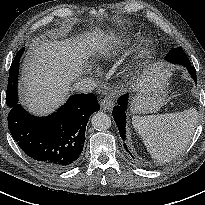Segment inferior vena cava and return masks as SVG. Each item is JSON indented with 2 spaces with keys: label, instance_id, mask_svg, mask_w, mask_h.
I'll return each instance as SVG.
<instances>
[{
  "label": "inferior vena cava",
  "instance_id": "obj_1",
  "mask_svg": "<svg viewBox=\"0 0 205 205\" xmlns=\"http://www.w3.org/2000/svg\"><path fill=\"white\" fill-rule=\"evenodd\" d=\"M96 86L92 78H83L74 84V88L81 93H90L95 90Z\"/></svg>",
  "mask_w": 205,
  "mask_h": 205
}]
</instances>
